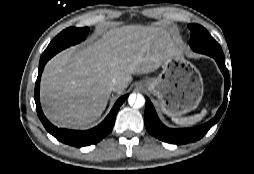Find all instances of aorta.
Returning a JSON list of instances; mask_svg holds the SVG:
<instances>
[{
	"label": "aorta",
	"mask_w": 254,
	"mask_h": 174,
	"mask_svg": "<svg viewBox=\"0 0 254 174\" xmlns=\"http://www.w3.org/2000/svg\"><path fill=\"white\" fill-rule=\"evenodd\" d=\"M128 101L135 108H141L145 104V98L141 94H131Z\"/></svg>",
	"instance_id": "762f6f07"
}]
</instances>
